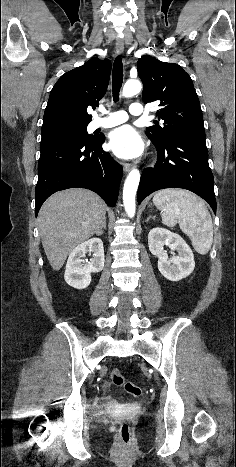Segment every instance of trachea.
<instances>
[{"label": "trachea", "instance_id": "trachea-1", "mask_svg": "<svg viewBox=\"0 0 236 467\" xmlns=\"http://www.w3.org/2000/svg\"><path fill=\"white\" fill-rule=\"evenodd\" d=\"M123 82V64L121 56H117L113 65V74H112V91H113V100L117 102L119 100V92Z\"/></svg>", "mask_w": 236, "mask_h": 467}]
</instances>
